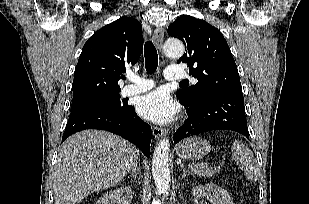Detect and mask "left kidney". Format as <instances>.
<instances>
[{"mask_svg": "<svg viewBox=\"0 0 309 204\" xmlns=\"http://www.w3.org/2000/svg\"><path fill=\"white\" fill-rule=\"evenodd\" d=\"M192 193L199 198L205 197L211 204H233L228 193L213 183L196 186L193 188Z\"/></svg>", "mask_w": 309, "mask_h": 204, "instance_id": "left-kidney-1", "label": "left kidney"}]
</instances>
